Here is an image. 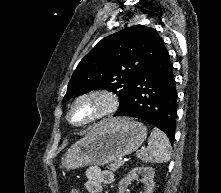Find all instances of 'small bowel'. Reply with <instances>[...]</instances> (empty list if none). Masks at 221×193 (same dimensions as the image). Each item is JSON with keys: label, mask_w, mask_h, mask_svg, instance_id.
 <instances>
[{"label": "small bowel", "mask_w": 221, "mask_h": 193, "mask_svg": "<svg viewBox=\"0 0 221 193\" xmlns=\"http://www.w3.org/2000/svg\"><path fill=\"white\" fill-rule=\"evenodd\" d=\"M86 189L89 193H102L105 185L114 181V175L110 170L98 166H90L85 171ZM71 193H77L74 189Z\"/></svg>", "instance_id": "obj_1"}]
</instances>
